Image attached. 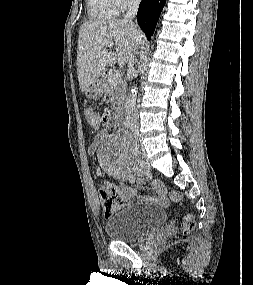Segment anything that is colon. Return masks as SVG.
<instances>
[{
  "mask_svg": "<svg viewBox=\"0 0 253 285\" xmlns=\"http://www.w3.org/2000/svg\"><path fill=\"white\" fill-rule=\"evenodd\" d=\"M86 119L92 127L100 125L99 117L100 115L93 109H87L85 112ZM170 197L174 201L180 200V196L176 192H171ZM99 198L101 203L105 208V214L109 215L114 207L123 206L128 202L120 192L114 188L101 187L99 189ZM196 225L195 218L192 215H186L183 219V231L190 232L194 229Z\"/></svg>",
  "mask_w": 253,
  "mask_h": 285,
  "instance_id": "colon-1",
  "label": "colon"
}]
</instances>
